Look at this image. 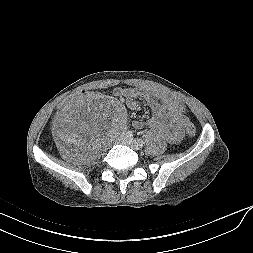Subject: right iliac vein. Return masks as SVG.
Returning <instances> with one entry per match:
<instances>
[{"label": "right iliac vein", "mask_w": 253, "mask_h": 253, "mask_svg": "<svg viewBox=\"0 0 253 253\" xmlns=\"http://www.w3.org/2000/svg\"><path fill=\"white\" fill-rule=\"evenodd\" d=\"M125 138V135L120 136L119 141H123Z\"/></svg>", "instance_id": "right-iliac-vein-1"}]
</instances>
